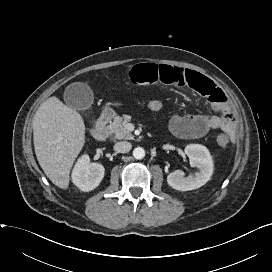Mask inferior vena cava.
I'll return each instance as SVG.
<instances>
[{
	"label": "inferior vena cava",
	"mask_w": 272,
	"mask_h": 272,
	"mask_svg": "<svg viewBox=\"0 0 272 272\" xmlns=\"http://www.w3.org/2000/svg\"><path fill=\"white\" fill-rule=\"evenodd\" d=\"M131 148H132L131 143L126 141L117 142L114 145V150L118 153H126L130 151Z\"/></svg>",
	"instance_id": "inferior-vena-cava-1"
}]
</instances>
